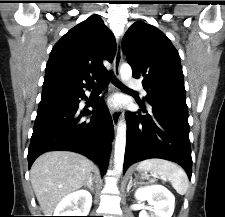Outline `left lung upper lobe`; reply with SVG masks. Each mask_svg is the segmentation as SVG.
<instances>
[{
  "instance_id": "left-lung-upper-lobe-1",
  "label": "left lung upper lobe",
  "mask_w": 225,
  "mask_h": 217,
  "mask_svg": "<svg viewBox=\"0 0 225 217\" xmlns=\"http://www.w3.org/2000/svg\"><path fill=\"white\" fill-rule=\"evenodd\" d=\"M123 50L133 77L143 79L146 100H185L180 56L163 32L143 21L135 22L123 37Z\"/></svg>"
}]
</instances>
